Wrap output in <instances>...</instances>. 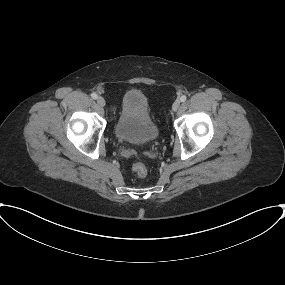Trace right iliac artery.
Segmentation results:
<instances>
[{"instance_id": "right-iliac-artery-1", "label": "right iliac artery", "mask_w": 285, "mask_h": 285, "mask_svg": "<svg viewBox=\"0 0 285 285\" xmlns=\"http://www.w3.org/2000/svg\"><path fill=\"white\" fill-rule=\"evenodd\" d=\"M91 97H92L93 99H97V94H96V93H92V94H91Z\"/></svg>"}]
</instances>
